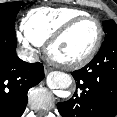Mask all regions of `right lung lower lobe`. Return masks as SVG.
<instances>
[{
  "label": "right lung lower lobe",
  "mask_w": 117,
  "mask_h": 117,
  "mask_svg": "<svg viewBox=\"0 0 117 117\" xmlns=\"http://www.w3.org/2000/svg\"><path fill=\"white\" fill-rule=\"evenodd\" d=\"M43 78V64L17 57L15 26L0 23V117H21L28 90Z\"/></svg>",
  "instance_id": "98d812e1"
}]
</instances>
